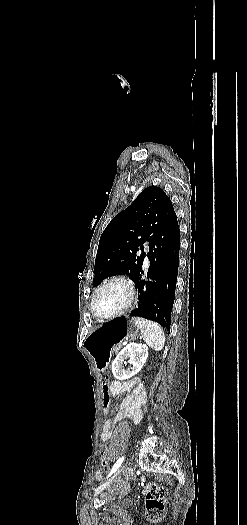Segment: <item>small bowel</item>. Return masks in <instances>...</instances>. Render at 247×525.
Returning <instances> with one entry per match:
<instances>
[{"mask_svg":"<svg viewBox=\"0 0 247 525\" xmlns=\"http://www.w3.org/2000/svg\"><path fill=\"white\" fill-rule=\"evenodd\" d=\"M110 388V399L121 395L125 390V388L118 382H116L114 387ZM144 400V384L140 380H135L131 391L120 402L115 420L111 421L110 419H108L104 421L101 432V440L103 443H108L112 439L115 424L124 421L128 417H133L139 410V407L144 402ZM119 454V450L116 447H114L109 453V458L112 460H117ZM94 476L95 479L98 481H101L103 478V474L100 470H97Z\"/></svg>","mask_w":247,"mask_h":525,"instance_id":"1","label":"small bowel"}]
</instances>
